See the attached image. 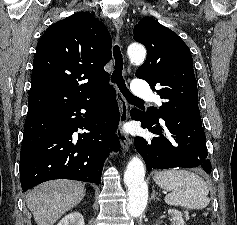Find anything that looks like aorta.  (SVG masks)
Instances as JSON below:
<instances>
[{
  "instance_id": "aorta-1",
  "label": "aorta",
  "mask_w": 237,
  "mask_h": 225,
  "mask_svg": "<svg viewBox=\"0 0 237 225\" xmlns=\"http://www.w3.org/2000/svg\"><path fill=\"white\" fill-rule=\"evenodd\" d=\"M132 63L141 64L146 58V50L142 45L131 44L127 50ZM145 166L139 156H134L127 165L124 182L128 187L127 210L131 216L142 214L148 199V186L144 181Z\"/></svg>"
}]
</instances>
